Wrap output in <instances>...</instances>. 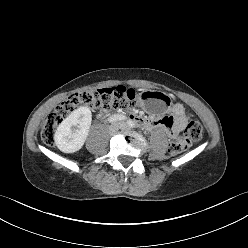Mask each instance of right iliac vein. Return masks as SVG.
<instances>
[{"label": "right iliac vein", "mask_w": 248, "mask_h": 248, "mask_svg": "<svg viewBox=\"0 0 248 248\" xmlns=\"http://www.w3.org/2000/svg\"><path fill=\"white\" fill-rule=\"evenodd\" d=\"M117 130H118V126L114 124L109 128V133L113 135Z\"/></svg>", "instance_id": "obj_1"}]
</instances>
